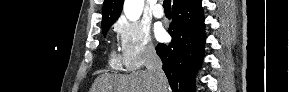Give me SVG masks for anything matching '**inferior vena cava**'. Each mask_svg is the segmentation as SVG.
Segmentation results:
<instances>
[{
    "label": "inferior vena cava",
    "instance_id": "1",
    "mask_svg": "<svg viewBox=\"0 0 289 92\" xmlns=\"http://www.w3.org/2000/svg\"><path fill=\"white\" fill-rule=\"evenodd\" d=\"M146 68L153 74L158 92L165 91L168 83L162 69V61L152 45L146 48Z\"/></svg>",
    "mask_w": 289,
    "mask_h": 92
}]
</instances>
